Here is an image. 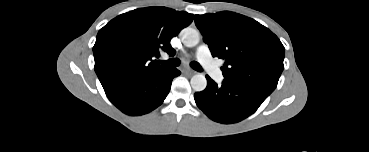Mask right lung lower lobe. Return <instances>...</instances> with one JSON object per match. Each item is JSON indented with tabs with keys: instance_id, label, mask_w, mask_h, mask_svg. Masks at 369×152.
Instances as JSON below:
<instances>
[{
	"instance_id": "right-lung-lower-lobe-1",
	"label": "right lung lower lobe",
	"mask_w": 369,
	"mask_h": 152,
	"mask_svg": "<svg viewBox=\"0 0 369 152\" xmlns=\"http://www.w3.org/2000/svg\"><path fill=\"white\" fill-rule=\"evenodd\" d=\"M180 71L166 69L131 80L106 93L108 99L127 115H143L161 105Z\"/></svg>"
}]
</instances>
